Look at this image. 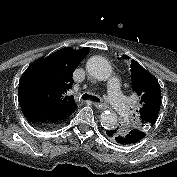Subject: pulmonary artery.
Returning <instances> with one entry per match:
<instances>
[{
	"mask_svg": "<svg viewBox=\"0 0 177 177\" xmlns=\"http://www.w3.org/2000/svg\"><path fill=\"white\" fill-rule=\"evenodd\" d=\"M108 100L114 110L119 114H125L127 112L126 102L121 94L119 80L116 77H112L107 86Z\"/></svg>",
	"mask_w": 177,
	"mask_h": 177,
	"instance_id": "obj_1",
	"label": "pulmonary artery"
}]
</instances>
